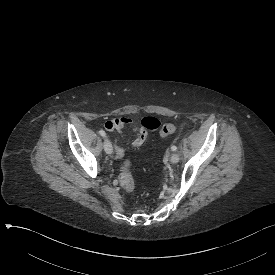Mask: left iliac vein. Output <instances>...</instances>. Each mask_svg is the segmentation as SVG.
Returning a JSON list of instances; mask_svg holds the SVG:
<instances>
[{
	"mask_svg": "<svg viewBox=\"0 0 275 275\" xmlns=\"http://www.w3.org/2000/svg\"><path fill=\"white\" fill-rule=\"evenodd\" d=\"M179 158L180 157H179L178 153H173L170 158L171 163L176 164L179 161Z\"/></svg>",
	"mask_w": 275,
	"mask_h": 275,
	"instance_id": "left-iliac-vein-1",
	"label": "left iliac vein"
}]
</instances>
